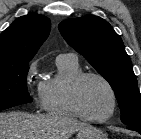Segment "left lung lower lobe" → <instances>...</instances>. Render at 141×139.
Here are the masks:
<instances>
[{
    "instance_id": "obj_1",
    "label": "left lung lower lobe",
    "mask_w": 141,
    "mask_h": 139,
    "mask_svg": "<svg viewBox=\"0 0 141 139\" xmlns=\"http://www.w3.org/2000/svg\"><path fill=\"white\" fill-rule=\"evenodd\" d=\"M128 129L134 130V131H136V132H138V133L141 134V126H140V125H130V126L128 127Z\"/></svg>"
}]
</instances>
